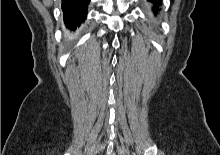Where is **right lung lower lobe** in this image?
I'll return each instance as SVG.
<instances>
[{
    "instance_id": "right-lung-lower-lobe-1",
    "label": "right lung lower lobe",
    "mask_w": 220,
    "mask_h": 155,
    "mask_svg": "<svg viewBox=\"0 0 220 155\" xmlns=\"http://www.w3.org/2000/svg\"><path fill=\"white\" fill-rule=\"evenodd\" d=\"M90 0H62L63 18L69 30H75L85 20Z\"/></svg>"
}]
</instances>
